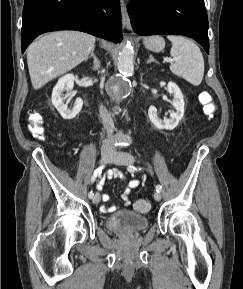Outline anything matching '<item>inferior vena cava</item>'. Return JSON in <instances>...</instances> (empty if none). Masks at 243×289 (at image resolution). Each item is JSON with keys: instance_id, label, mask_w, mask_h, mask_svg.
I'll list each match as a JSON object with an SVG mask.
<instances>
[{"instance_id": "inferior-vena-cava-1", "label": "inferior vena cava", "mask_w": 243, "mask_h": 289, "mask_svg": "<svg viewBox=\"0 0 243 289\" xmlns=\"http://www.w3.org/2000/svg\"><path fill=\"white\" fill-rule=\"evenodd\" d=\"M99 113H100V117L102 119L103 125L107 131V139L103 141L101 149L102 151L115 153L116 149L111 139L112 133L114 131V122L112 120L111 114L106 110L105 107H103V105H100Z\"/></svg>"}]
</instances>
